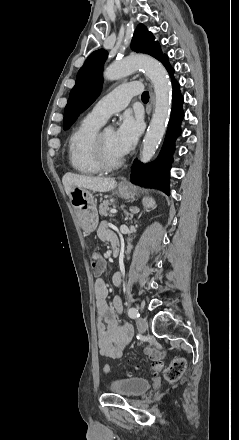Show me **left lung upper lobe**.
Wrapping results in <instances>:
<instances>
[{"label": "left lung upper lobe", "instance_id": "obj_1", "mask_svg": "<svg viewBox=\"0 0 239 440\" xmlns=\"http://www.w3.org/2000/svg\"><path fill=\"white\" fill-rule=\"evenodd\" d=\"M131 48L162 60L165 56L154 36L143 24H139L134 32ZM108 56L107 51L99 49L92 52L77 74L75 86L72 88L65 107L63 129H68L77 116L88 108L99 96L102 86V68Z\"/></svg>", "mask_w": 239, "mask_h": 440}]
</instances>
